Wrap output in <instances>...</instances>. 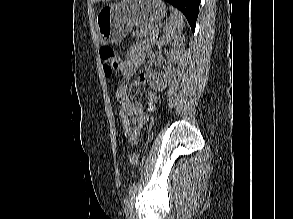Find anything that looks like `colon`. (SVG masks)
I'll return each instance as SVG.
<instances>
[{"label": "colon", "mask_w": 293, "mask_h": 219, "mask_svg": "<svg viewBox=\"0 0 293 219\" xmlns=\"http://www.w3.org/2000/svg\"><path fill=\"white\" fill-rule=\"evenodd\" d=\"M100 57L103 63V69L107 77L113 76L119 68L120 58L117 52L110 47H103L100 49ZM139 155L133 152L129 155V161L132 164L138 162Z\"/></svg>", "instance_id": "5ec220e1"}]
</instances>
